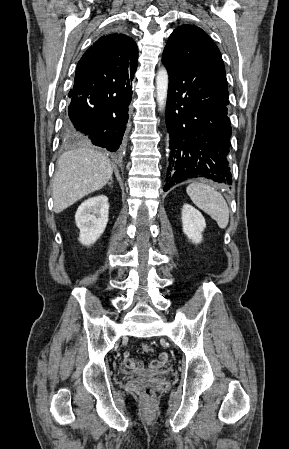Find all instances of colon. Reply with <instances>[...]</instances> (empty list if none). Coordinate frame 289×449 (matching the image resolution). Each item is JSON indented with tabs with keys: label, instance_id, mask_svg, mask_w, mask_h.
Wrapping results in <instances>:
<instances>
[{
	"label": "colon",
	"instance_id": "colon-1",
	"mask_svg": "<svg viewBox=\"0 0 289 449\" xmlns=\"http://www.w3.org/2000/svg\"><path fill=\"white\" fill-rule=\"evenodd\" d=\"M142 349H143V351L146 352V353H149V352H152V351H153V348H152L149 344H143V345H142ZM163 353H165V352H163ZM161 354H162V353H161ZM161 354H160V355H161ZM144 393H145V395L149 396V395L151 394V388H150V387H146V388L144 389Z\"/></svg>",
	"mask_w": 289,
	"mask_h": 449
}]
</instances>
